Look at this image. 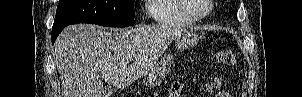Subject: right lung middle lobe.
Listing matches in <instances>:
<instances>
[{
  "label": "right lung middle lobe",
  "mask_w": 302,
  "mask_h": 97,
  "mask_svg": "<svg viewBox=\"0 0 302 97\" xmlns=\"http://www.w3.org/2000/svg\"><path fill=\"white\" fill-rule=\"evenodd\" d=\"M134 2L135 0H60L52 30L76 23L132 26Z\"/></svg>",
  "instance_id": "obj_1"
}]
</instances>
